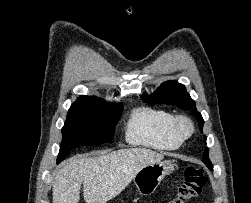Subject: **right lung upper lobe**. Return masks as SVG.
Listing matches in <instances>:
<instances>
[{"instance_id":"obj_1","label":"right lung upper lobe","mask_w":251,"mask_h":203,"mask_svg":"<svg viewBox=\"0 0 251 203\" xmlns=\"http://www.w3.org/2000/svg\"><path fill=\"white\" fill-rule=\"evenodd\" d=\"M89 104H106L104 103V100L98 97L93 96H80L79 100L74 102L72 105H89ZM108 104H120V103H108Z\"/></svg>"}]
</instances>
